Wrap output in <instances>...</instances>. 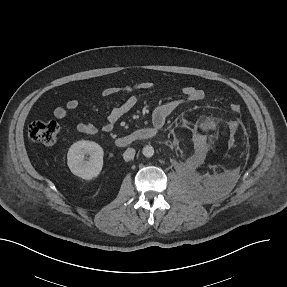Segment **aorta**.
<instances>
[{
	"label": "aorta",
	"instance_id": "aorta-1",
	"mask_svg": "<svg viewBox=\"0 0 287 287\" xmlns=\"http://www.w3.org/2000/svg\"><path fill=\"white\" fill-rule=\"evenodd\" d=\"M143 155L147 158H150L154 155V148L151 145H147L143 148Z\"/></svg>",
	"mask_w": 287,
	"mask_h": 287
}]
</instances>
